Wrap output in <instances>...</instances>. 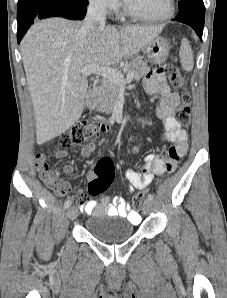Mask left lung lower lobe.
<instances>
[{"label":"left lung lower lobe","instance_id":"1","mask_svg":"<svg viewBox=\"0 0 227 298\" xmlns=\"http://www.w3.org/2000/svg\"><path fill=\"white\" fill-rule=\"evenodd\" d=\"M204 16L205 15L198 12L187 11L181 14L178 13V15L173 20L192 27L199 36V38L202 40Z\"/></svg>","mask_w":227,"mask_h":298}]
</instances>
